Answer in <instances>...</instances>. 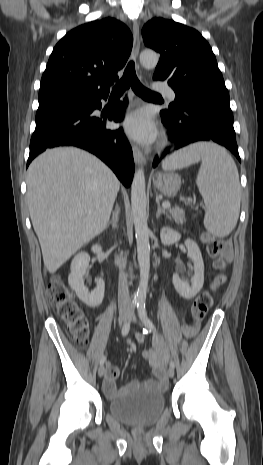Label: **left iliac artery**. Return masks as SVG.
I'll return each instance as SVG.
<instances>
[{
    "mask_svg": "<svg viewBox=\"0 0 263 465\" xmlns=\"http://www.w3.org/2000/svg\"><path fill=\"white\" fill-rule=\"evenodd\" d=\"M137 310H138V315L141 319V321L143 322V324L147 327V329L150 331V332H153L155 333L156 332V328L154 326V324L152 323V321L149 319V317L147 316V312H146V307H145V302L141 301L137 304ZM170 367L174 368L175 367V362L174 361H171L170 362Z\"/></svg>",
    "mask_w": 263,
    "mask_h": 465,
    "instance_id": "1",
    "label": "left iliac artery"
}]
</instances>
